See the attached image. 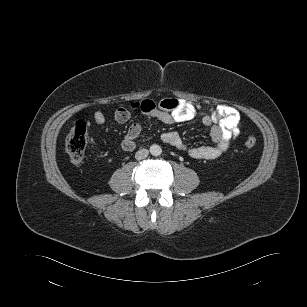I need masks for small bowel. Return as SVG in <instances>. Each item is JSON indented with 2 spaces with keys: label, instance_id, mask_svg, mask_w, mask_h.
Instances as JSON below:
<instances>
[{
  "label": "small bowel",
  "instance_id": "obj_1",
  "mask_svg": "<svg viewBox=\"0 0 307 307\" xmlns=\"http://www.w3.org/2000/svg\"><path fill=\"white\" fill-rule=\"evenodd\" d=\"M132 108L140 110L145 118H156L166 124L181 123L200 117L204 126L210 130L211 145L188 146L175 131H168L161 135V140L179 150L185 151L194 159L212 160L226 153L234 138L239 134L240 115L238 111L229 105H218L216 108L203 111L191 102L166 98L159 103L144 99L132 105ZM114 118L118 123H126L130 118V111L126 107L115 110ZM94 122L102 125L105 115L96 111L93 115ZM142 131V124H131L121 142L124 151L130 152L136 148V140Z\"/></svg>",
  "mask_w": 307,
  "mask_h": 307
}]
</instances>
